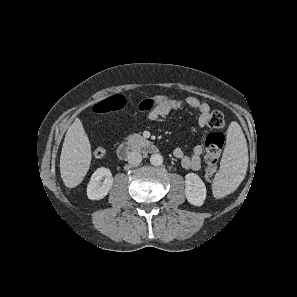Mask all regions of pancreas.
<instances>
[{"mask_svg": "<svg viewBox=\"0 0 297 297\" xmlns=\"http://www.w3.org/2000/svg\"><path fill=\"white\" fill-rule=\"evenodd\" d=\"M126 140L128 141L129 144H131L134 147H138L139 143L144 141V138L140 136L139 134H131L129 135Z\"/></svg>", "mask_w": 297, "mask_h": 297, "instance_id": "pancreas-1", "label": "pancreas"}]
</instances>
